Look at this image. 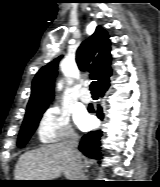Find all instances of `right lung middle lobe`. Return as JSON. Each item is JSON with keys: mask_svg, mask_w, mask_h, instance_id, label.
Returning <instances> with one entry per match:
<instances>
[{"mask_svg": "<svg viewBox=\"0 0 160 187\" xmlns=\"http://www.w3.org/2000/svg\"><path fill=\"white\" fill-rule=\"evenodd\" d=\"M45 110L46 109L41 111L26 113L18 138L19 147H23L27 143V141L29 140V138L37 128L41 116Z\"/></svg>", "mask_w": 160, "mask_h": 187, "instance_id": "right-lung-middle-lobe-1", "label": "right lung middle lobe"}]
</instances>
